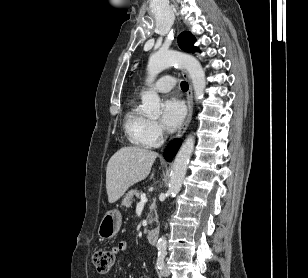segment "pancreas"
<instances>
[{"label":"pancreas","mask_w":308,"mask_h":278,"mask_svg":"<svg viewBox=\"0 0 308 278\" xmlns=\"http://www.w3.org/2000/svg\"><path fill=\"white\" fill-rule=\"evenodd\" d=\"M141 195V193L137 190V189H131L130 191H128L124 197V199L122 200V206L124 207H128L132 204L133 198L139 197ZM150 210V214H148V221L152 222L153 220H157V215H156V204L153 203L150 205L149 207ZM152 212H154V214H151ZM155 215V218H153L152 216Z\"/></svg>","instance_id":"pancreas-1"}]
</instances>
